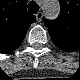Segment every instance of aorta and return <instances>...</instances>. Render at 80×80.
<instances>
[{"instance_id": "aorta-1", "label": "aorta", "mask_w": 80, "mask_h": 80, "mask_svg": "<svg viewBox=\"0 0 80 80\" xmlns=\"http://www.w3.org/2000/svg\"><path fill=\"white\" fill-rule=\"evenodd\" d=\"M59 11L60 9L57 3H54L52 5L48 3V5L45 7V15L50 19H56L59 15Z\"/></svg>"}]
</instances>
